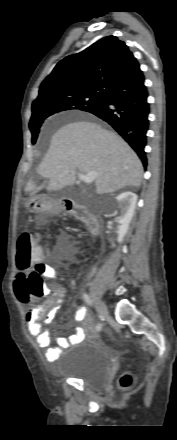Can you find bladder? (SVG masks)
Returning a JSON list of instances; mask_svg holds the SVG:
<instances>
[{"label":"bladder","instance_id":"obj_1","mask_svg":"<svg viewBox=\"0 0 177 440\" xmlns=\"http://www.w3.org/2000/svg\"><path fill=\"white\" fill-rule=\"evenodd\" d=\"M110 358L93 339L77 343L61 367V375L82 381L85 386L99 389L104 386L111 368Z\"/></svg>","mask_w":177,"mask_h":440}]
</instances>
